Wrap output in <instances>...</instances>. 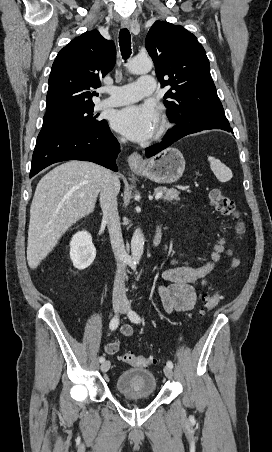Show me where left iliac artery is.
Wrapping results in <instances>:
<instances>
[{
  "mask_svg": "<svg viewBox=\"0 0 272 452\" xmlns=\"http://www.w3.org/2000/svg\"><path fill=\"white\" fill-rule=\"evenodd\" d=\"M129 318L134 323H140L141 322L140 316L135 311H130L129 312ZM167 366L170 367V368H173L172 361H167Z\"/></svg>",
  "mask_w": 272,
  "mask_h": 452,
  "instance_id": "1",
  "label": "left iliac artery"
}]
</instances>
